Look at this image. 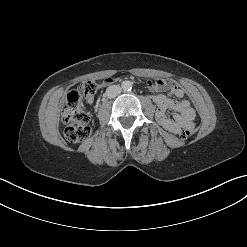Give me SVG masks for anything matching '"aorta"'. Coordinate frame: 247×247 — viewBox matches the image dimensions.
I'll return each instance as SVG.
<instances>
[{
	"label": "aorta",
	"mask_w": 247,
	"mask_h": 247,
	"mask_svg": "<svg viewBox=\"0 0 247 247\" xmlns=\"http://www.w3.org/2000/svg\"><path fill=\"white\" fill-rule=\"evenodd\" d=\"M121 86L124 91H130L132 89V82L129 80L123 81Z\"/></svg>",
	"instance_id": "aorta-1"
}]
</instances>
